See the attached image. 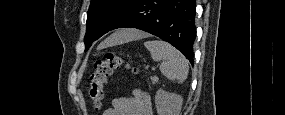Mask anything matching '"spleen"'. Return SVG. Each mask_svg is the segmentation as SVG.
<instances>
[{"instance_id": "3e777b00", "label": "spleen", "mask_w": 285, "mask_h": 115, "mask_svg": "<svg viewBox=\"0 0 285 115\" xmlns=\"http://www.w3.org/2000/svg\"><path fill=\"white\" fill-rule=\"evenodd\" d=\"M145 47L149 50L154 61H160L162 74L172 81L183 83L189 72L187 59L167 42L162 40L146 41Z\"/></svg>"}]
</instances>
